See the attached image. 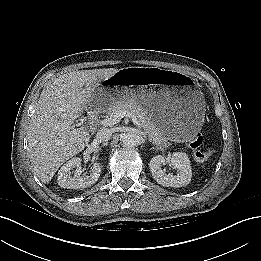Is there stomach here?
I'll return each instance as SVG.
<instances>
[{
    "instance_id": "0dacf381",
    "label": "stomach",
    "mask_w": 261,
    "mask_h": 261,
    "mask_svg": "<svg viewBox=\"0 0 261 261\" xmlns=\"http://www.w3.org/2000/svg\"><path fill=\"white\" fill-rule=\"evenodd\" d=\"M112 79L116 82L95 90L92 108L102 110L114 102L134 100L148 111L152 122L169 140L187 141L200 130L204 100L191 79L155 67L121 69Z\"/></svg>"
}]
</instances>
